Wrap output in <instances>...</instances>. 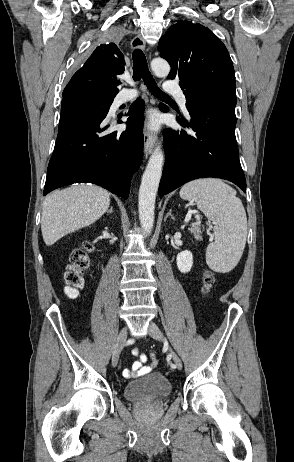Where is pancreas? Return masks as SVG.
<instances>
[{
  "label": "pancreas",
  "instance_id": "1",
  "mask_svg": "<svg viewBox=\"0 0 294 462\" xmlns=\"http://www.w3.org/2000/svg\"><path fill=\"white\" fill-rule=\"evenodd\" d=\"M189 231L190 233L195 237L196 240H202V231H201V228L199 226H192L191 228H189Z\"/></svg>",
  "mask_w": 294,
  "mask_h": 462
}]
</instances>
